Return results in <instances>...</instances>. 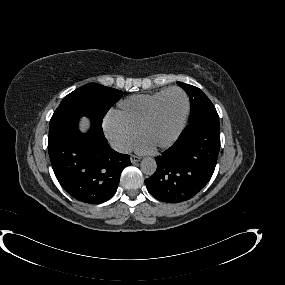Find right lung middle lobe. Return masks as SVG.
<instances>
[{"instance_id":"dd1d6c3e","label":"right lung middle lobe","mask_w":285,"mask_h":285,"mask_svg":"<svg viewBox=\"0 0 285 285\" xmlns=\"http://www.w3.org/2000/svg\"><path fill=\"white\" fill-rule=\"evenodd\" d=\"M122 93L96 83L86 84L63 98L50 120L49 129L64 120L80 116H87L93 122L102 124L105 113L121 98Z\"/></svg>"}]
</instances>
